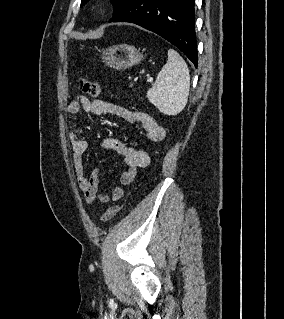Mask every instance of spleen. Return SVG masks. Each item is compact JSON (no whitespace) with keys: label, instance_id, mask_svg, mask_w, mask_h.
I'll return each mask as SVG.
<instances>
[{"label":"spleen","instance_id":"spleen-1","mask_svg":"<svg viewBox=\"0 0 284 319\" xmlns=\"http://www.w3.org/2000/svg\"><path fill=\"white\" fill-rule=\"evenodd\" d=\"M190 75L183 58L168 50V61L157 75L155 84L147 92L148 100L166 115H176L186 106Z\"/></svg>","mask_w":284,"mask_h":319}]
</instances>
